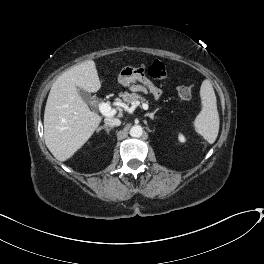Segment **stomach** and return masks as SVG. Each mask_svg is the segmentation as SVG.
Masks as SVG:
<instances>
[{
	"label": "stomach",
	"instance_id": "0dacf381",
	"mask_svg": "<svg viewBox=\"0 0 264 264\" xmlns=\"http://www.w3.org/2000/svg\"><path fill=\"white\" fill-rule=\"evenodd\" d=\"M141 79L142 72L139 68H135L133 66L123 67L118 75V82L123 86L130 87L131 90L137 89L134 83Z\"/></svg>",
	"mask_w": 264,
	"mask_h": 264
}]
</instances>
